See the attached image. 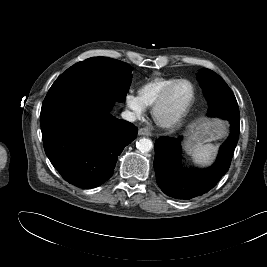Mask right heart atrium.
<instances>
[{
	"instance_id": "1",
	"label": "right heart atrium",
	"mask_w": 267,
	"mask_h": 267,
	"mask_svg": "<svg viewBox=\"0 0 267 267\" xmlns=\"http://www.w3.org/2000/svg\"><path fill=\"white\" fill-rule=\"evenodd\" d=\"M125 103L132 115L136 118L141 117L146 111V106L141 101L140 97L132 92H129L125 96Z\"/></svg>"
}]
</instances>
